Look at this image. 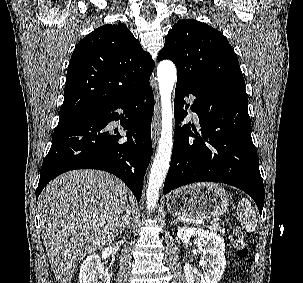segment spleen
Returning <instances> with one entry per match:
<instances>
[{"label":"spleen","instance_id":"spleen-1","mask_svg":"<svg viewBox=\"0 0 303 283\" xmlns=\"http://www.w3.org/2000/svg\"><path fill=\"white\" fill-rule=\"evenodd\" d=\"M237 215L242 228L248 232H253L257 227V218L253 206L249 200L242 198L237 206Z\"/></svg>","mask_w":303,"mask_h":283}]
</instances>
